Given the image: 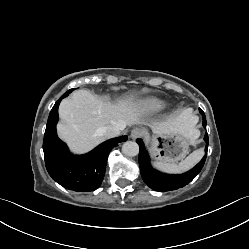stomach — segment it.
Returning <instances> with one entry per match:
<instances>
[{
  "mask_svg": "<svg viewBox=\"0 0 249 249\" xmlns=\"http://www.w3.org/2000/svg\"><path fill=\"white\" fill-rule=\"evenodd\" d=\"M152 156L162 162L176 163L189 151L190 140L180 131L156 133L149 137Z\"/></svg>",
  "mask_w": 249,
  "mask_h": 249,
  "instance_id": "0dacf381",
  "label": "stomach"
}]
</instances>
